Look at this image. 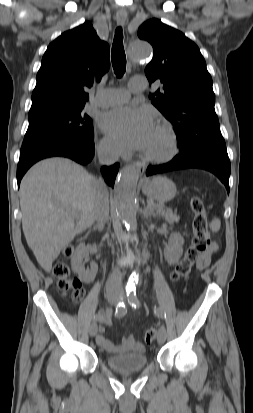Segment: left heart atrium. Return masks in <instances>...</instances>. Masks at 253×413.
<instances>
[{"label":"left heart atrium","instance_id":"39dd6f15","mask_svg":"<svg viewBox=\"0 0 253 413\" xmlns=\"http://www.w3.org/2000/svg\"><path fill=\"white\" fill-rule=\"evenodd\" d=\"M102 127L124 145L144 149L154 129L145 108L126 107L112 110L102 118Z\"/></svg>","mask_w":253,"mask_h":413}]
</instances>
